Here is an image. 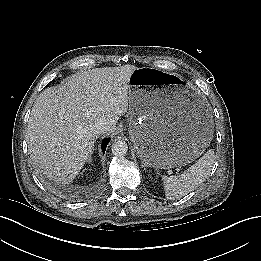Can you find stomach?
<instances>
[{"instance_id": "obj_1", "label": "stomach", "mask_w": 261, "mask_h": 261, "mask_svg": "<svg viewBox=\"0 0 261 261\" xmlns=\"http://www.w3.org/2000/svg\"><path fill=\"white\" fill-rule=\"evenodd\" d=\"M129 134L138 156L153 168L184 166L209 146L212 129L200 98L182 78L138 68L129 79Z\"/></svg>"}]
</instances>
